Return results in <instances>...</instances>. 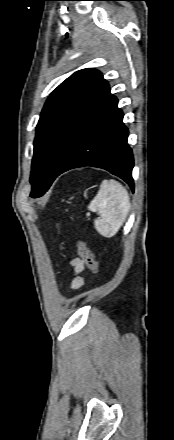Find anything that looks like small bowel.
<instances>
[{
	"label": "small bowel",
	"instance_id": "c3829d8e",
	"mask_svg": "<svg viewBox=\"0 0 174 440\" xmlns=\"http://www.w3.org/2000/svg\"><path fill=\"white\" fill-rule=\"evenodd\" d=\"M71 265L74 268V272H75V277L71 282L70 288L71 290H78L80 289L85 281L84 279L79 276V274L83 271L84 269V263L82 262V260L80 258H75L71 261Z\"/></svg>",
	"mask_w": 174,
	"mask_h": 440
}]
</instances>
